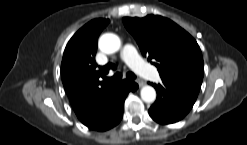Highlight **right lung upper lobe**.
I'll use <instances>...</instances> for the list:
<instances>
[{
	"mask_svg": "<svg viewBox=\"0 0 247 145\" xmlns=\"http://www.w3.org/2000/svg\"><path fill=\"white\" fill-rule=\"evenodd\" d=\"M109 23L94 19L78 30L68 42L61 63V77L71 105L82 120L103 105L119 84L101 80L112 64L97 68V38Z\"/></svg>",
	"mask_w": 247,
	"mask_h": 145,
	"instance_id": "cb5924a9",
	"label": "right lung upper lobe"
}]
</instances>
